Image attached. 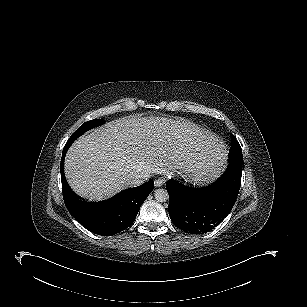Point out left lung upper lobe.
Masks as SVG:
<instances>
[{
  "label": "left lung upper lobe",
  "mask_w": 307,
  "mask_h": 307,
  "mask_svg": "<svg viewBox=\"0 0 307 307\" xmlns=\"http://www.w3.org/2000/svg\"><path fill=\"white\" fill-rule=\"evenodd\" d=\"M231 138H232V146L229 151V163L242 165L241 147L238 141L235 139V137L232 134H231Z\"/></svg>",
  "instance_id": "5c2ea615"
}]
</instances>
